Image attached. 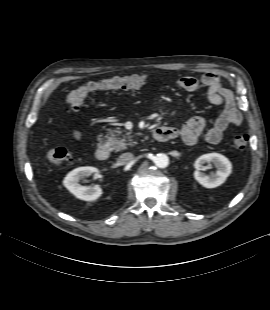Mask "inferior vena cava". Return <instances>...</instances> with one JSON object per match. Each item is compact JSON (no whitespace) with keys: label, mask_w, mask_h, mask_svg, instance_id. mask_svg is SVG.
<instances>
[{"label":"inferior vena cava","mask_w":270,"mask_h":310,"mask_svg":"<svg viewBox=\"0 0 270 310\" xmlns=\"http://www.w3.org/2000/svg\"><path fill=\"white\" fill-rule=\"evenodd\" d=\"M134 158V155L132 153H123L119 156L118 162L122 165L129 163Z\"/></svg>","instance_id":"1"}]
</instances>
